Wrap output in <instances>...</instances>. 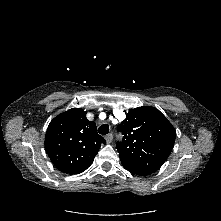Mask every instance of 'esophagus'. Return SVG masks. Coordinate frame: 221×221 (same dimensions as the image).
<instances>
[{
    "label": "esophagus",
    "mask_w": 221,
    "mask_h": 221,
    "mask_svg": "<svg viewBox=\"0 0 221 221\" xmlns=\"http://www.w3.org/2000/svg\"><path fill=\"white\" fill-rule=\"evenodd\" d=\"M105 140H106V142H107L108 144L111 143L112 140H113V135H112V134H107V135L105 136Z\"/></svg>",
    "instance_id": "esophagus-1"
}]
</instances>
